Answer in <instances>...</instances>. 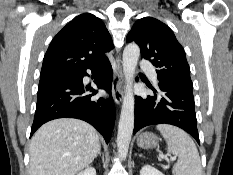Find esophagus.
Here are the masks:
<instances>
[{"label":"esophagus","instance_id":"34e87169","mask_svg":"<svg viewBox=\"0 0 233 175\" xmlns=\"http://www.w3.org/2000/svg\"><path fill=\"white\" fill-rule=\"evenodd\" d=\"M116 62H117V66L112 82V95L114 101L117 104H120L123 99V72L120 65L119 57H116Z\"/></svg>","mask_w":233,"mask_h":175}]
</instances>
